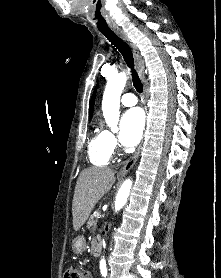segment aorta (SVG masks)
Returning a JSON list of instances; mask_svg holds the SVG:
<instances>
[{
	"label": "aorta",
	"instance_id": "1",
	"mask_svg": "<svg viewBox=\"0 0 221 278\" xmlns=\"http://www.w3.org/2000/svg\"><path fill=\"white\" fill-rule=\"evenodd\" d=\"M126 81L127 74L125 72L111 76L107 81L102 100V111L107 124L110 126L114 125L119 118L120 96L125 87ZM131 187L132 181L130 179H126L116 196V212L126 204Z\"/></svg>",
	"mask_w": 221,
	"mask_h": 278
}]
</instances>
